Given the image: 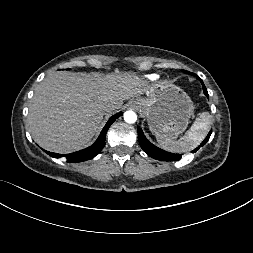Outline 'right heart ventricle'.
<instances>
[{
	"mask_svg": "<svg viewBox=\"0 0 253 253\" xmlns=\"http://www.w3.org/2000/svg\"><path fill=\"white\" fill-rule=\"evenodd\" d=\"M150 80L154 81V80H157L158 79V75H150L148 77Z\"/></svg>",
	"mask_w": 253,
	"mask_h": 253,
	"instance_id": "1",
	"label": "right heart ventricle"
}]
</instances>
